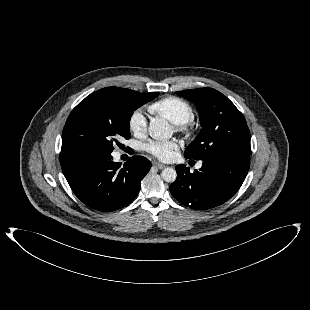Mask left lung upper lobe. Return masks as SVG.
<instances>
[{"label": "left lung upper lobe", "instance_id": "5c2ea615", "mask_svg": "<svg viewBox=\"0 0 310 310\" xmlns=\"http://www.w3.org/2000/svg\"><path fill=\"white\" fill-rule=\"evenodd\" d=\"M199 111L202 130L184 156L207 160L219 155H250V133L245 118L222 93L212 88L178 91Z\"/></svg>", "mask_w": 310, "mask_h": 310}]
</instances>
